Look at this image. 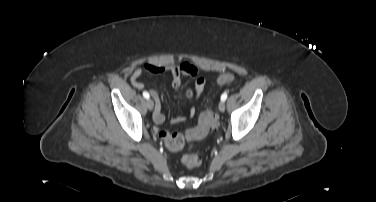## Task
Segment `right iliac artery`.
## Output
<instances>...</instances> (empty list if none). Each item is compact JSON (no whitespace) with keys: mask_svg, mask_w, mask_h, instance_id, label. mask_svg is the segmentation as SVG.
<instances>
[{"mask_svg":"<svg viewBox=\"0 0 376 202\" xmlns=\"http://www.w3.org/2000/svg\"><path fill=\"white\" fill-rule=\"evenodd\" d=\"M143 97L146 98V99H149L150 95L147 91H144L143 92Z\"/></svg>","mask_w":376,"mask_h":202,"instance_id":"obj_1","label":"right iliac artery"}]
</instances>
